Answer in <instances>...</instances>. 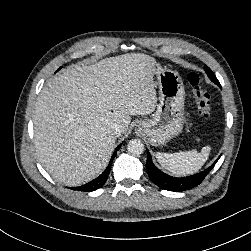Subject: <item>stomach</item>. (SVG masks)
<instances>
[{"mask_svg":"<svg viewBox=\"0 0 251 251\" xmlns=\"http://www.w3.org/2000/svg\"><path fill=\"white\" fill-rule=\"evenodd\" d=\"M151 68L159 88V104L150 119L138 121L137 128L149 137L152 145L158 146L169 142L183 129L185 91L178 72L162 68L157 61Z\"/></svg>","mask_w":251,"mask_h":251,"instance_id":"obj_1","label":"stomach"}]
</instances>
